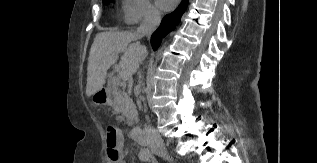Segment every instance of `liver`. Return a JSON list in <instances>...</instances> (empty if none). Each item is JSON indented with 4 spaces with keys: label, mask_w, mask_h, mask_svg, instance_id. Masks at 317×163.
<instances>
[{
    "label": "liver",
    "mask_w": 317,
    "mask_h": 163,
    "mask_svg": "<svg viewBox=\"0 0 317 163\" xmlns=\"http://www.w3.org/2000/svg\"><path fill=\"white\" fill-rule=\"evenodd\" d=\"M140 38L137 33L127 31H106L96 35L88 58V97L103 88L107 70L117 62L120 53H123L119 62L120 78L127 80L137 72L147 55L146 47L139 42Z\"/></svg>",
    "instance_id": "6515ba94"
}]
</instances>
